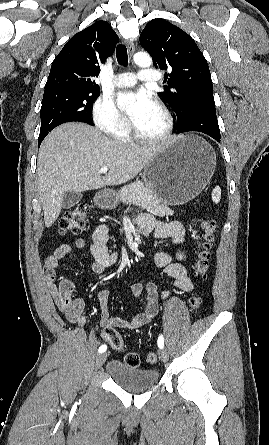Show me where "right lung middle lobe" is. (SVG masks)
Here are the masks:
<instances>
[{"label": "right lung middle lobe", "mask_w": 269, "mask_h": 445, "mask_svg": "<svg viewBox=\"0 0 269 445\" xmlns=\"http://www.w3.org/2000/svg\"><path fill=\"white\" fill-rule=\"evenodd\" d=\"M100 91L62 89L44 92L40 110L41 129L39 145L49 131L70 121L93 125L91 107Z\"/></svg>", "instance_id": "obj_1"}]
</instances>
